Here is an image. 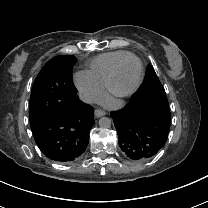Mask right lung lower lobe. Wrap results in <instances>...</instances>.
<instances>
[{"mask_svg":"<svg viewBox=\"0 0 208 208\" xmlns=\"http://www.w3.org/2000/svg\"><path fill=\"white\" fill-rule=\"evenodd\" d=\"M94 109L79 100L67 109L48 114L47 118L30 122L34 139L49 159L69 163L78 159L89 143V132L95 121Z\"/></svg>","mask_w":208,"mask_h":208,"instance_id":"98d812e1","label":"right lung lower lobe"}]
</instances>
